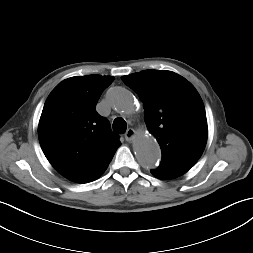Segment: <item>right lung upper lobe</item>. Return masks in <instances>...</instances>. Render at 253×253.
Listing matches in <instances>:
<instances>
[{
	"label": "right lung upper lobe",
	"mask_w": 253,
	"mask_h": 253,
	"mask_svg": "<svg viewBox=\"0 0 253 253\" xmlns=\"http://www.w3.org/2000/svg\"><path fill=\"white\" fill-rule=\"evenodd\" d=\"M112 76H75L63 80L48 96L38 126L41 148L51 165L67 179H97L120 146L108 120L96 112Z\"/></svg>",
	"instance_id": "cb5924a9"
}]
</instances>
